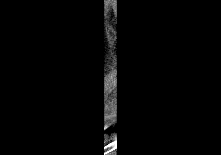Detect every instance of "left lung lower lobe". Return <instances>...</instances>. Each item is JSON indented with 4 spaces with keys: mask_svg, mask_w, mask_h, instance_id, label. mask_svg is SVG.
<instances>
[{
    "mask_svg": "<svg viewBox=\"0 0 221 155\" xmlns=\"http://www.w3.org/2000/svg\"><path fill=\"white\" fill-rule=\"evenodd\" d=\"M123 137V134H120L119 133V131H118V154L120 155V154H128L127 153V145H125V143L124 144H122V141H121V138ZM93 143L95 144V145H102L103 146V135H94V137H93ZM125 151H126V153H125Z\"/></svg>",
    "mask_w": 221,
    "mask_h": 155,
    "instance_id": "left-lung-lower-lobe-1",
    "label": "left lung lower lobe"
}]
</instances>
